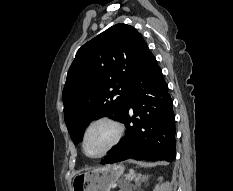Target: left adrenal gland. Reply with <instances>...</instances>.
Returning a JSON list of instances; mask_svg holds the SVG:
<instances>
[{
  "label": "left adrenal gland",
  "instance_id": "1",
  "mask_svg": "<svg viewBox=\"0 0 233 191\" xmlns=\"http://www.w3.org/2000/svg\"><path fill=\"white\" fill-rule=\"evenodd\" d=\"M127 178H128L129 180H133V179L136 178V175L134 174V171H133V170H131V171L129 172V174L127 175Z\"/></svg>",
  "mask_w": 233,
  "mask_h": 191
}]
</instances>
